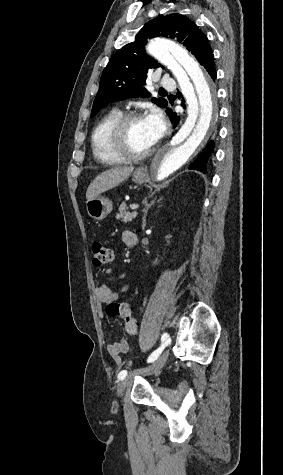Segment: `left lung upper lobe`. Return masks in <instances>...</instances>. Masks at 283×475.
Listing matches in <instances>:
<instances>
[{
    "mask_svg": "<svg viewBox=\"0 0 283 475\" xmlns=\"http://www.w3.org/2000/svg\"><path fill=\"white\" fill-rule=\"evenodd\" d=\"M164 36L176 38L202 65L212 52L206 35L186 16L170 14L150 20L137 33L135 41L114 54L104 68L100 88L93 103L91 117L110 102L128 97H150L143 87L149 69L161 66L145 53L148 38ZM153 103L167 107L163 98H152Z\"/></svg>",
    "mask_w": 283,
    "mask_h": 475,
    "instance_id": "5c2ea615",
    "label": "left lung upper lobe"
}]
</instances>
